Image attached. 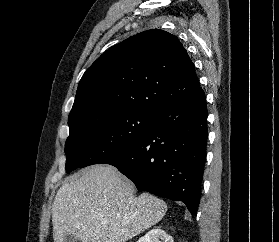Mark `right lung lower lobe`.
<instances>
[{
    "instance_id": "right-lung-lower-lobe-1",
    "label": "right lung lower lobe",
    "mask_w": 279,
    "mask_h": 242,
    "mask_svg": "<svg viewBox=\"0 0 279 242\" xmlns=\"http://www.w3.org/2000/svg\"><path fill=\"white\" fill-rule=\"evenodd\" d=\"M206 96L164 107L153 129L133 146L104 159L136 185L159 197L182 201L196 215L207 146Z\"/></svg>"
}]
</instances>
